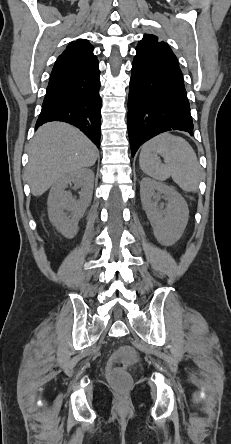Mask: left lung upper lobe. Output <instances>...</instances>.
I'll return each mask as SVG.
<instances>
[{"label": "left lung upper lobe", "mask_w": 231, "mask_h": 444, "mask_svg": "<svg viewBox=\"0 0 231 444\" xmlns=\"http://www.w3.org/2000/svg\"><path fill=\"white\" fill-rule=\"evenodd\" d=\"M136 51L142 53L166 56L178 62L176 56L169 48V46L163 41H159L158 37L154 35L145 34L143 39L138 43Z\"/></svg>", "instance_id": "left-lung-upper-lobe-1"}]
</instances>
